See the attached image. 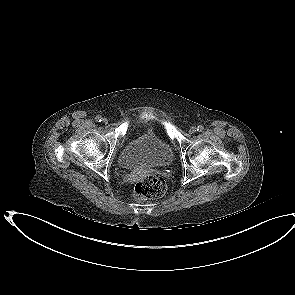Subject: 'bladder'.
Here are the masks:
<instances>
[{
    "instance_id": "obj_1",
    "label": "bladder",
    "mask_w": 295,
    "mask_h": 295,
    "mask_svg": "<svg viewBox=\"0 0 295 295\" xmlns=\"http://www.w3.org/2000/svg\"><path fill=\"white\" fill-rule=\"evenodd\" d=\"M173 158L169 143L153 131H146L130 140L119 154L120 165L126 169L165 167Z\"/></svg>"
}]
</instances>
